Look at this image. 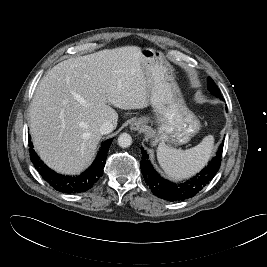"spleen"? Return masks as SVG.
Here are the masks:
<instances>
[{
  "instance_id": "1",
  "label": "spleen",
  "mask_w": 267,
  "mask_h": 267,
  "mask_svg": "<svg viewBox=\"0 0 267 267\" xmlns=\"http://www.w3.org/2000/svg\"><path fill=\"white\" fill-rule=\"evenodd\" d=\"M214 145L212 135L205 136L195 147L181 150L161 143L157 159L165 173L174 179L187 178L200 171L211 157Z\"/></svg>"
}]
</instances>
